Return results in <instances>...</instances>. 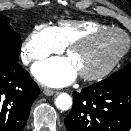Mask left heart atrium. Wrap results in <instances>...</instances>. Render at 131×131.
Here are the masks:
<instances>
[{"label":"left heart atrium","mask_w":131,"mask_h":131,"mask_svg":"<svg viewBox=\"0 0 131 131\" xmlns=\"http://www.w3.org/2000/svg\"><path fill=\"white\" fill-rule=\"evenodd\" d=\"M35 77L50 86H63L71 83L78 70L69 57L51 58L36 64L32 69Z\"/></svg>","instance_id":"1"}]
</instances>
